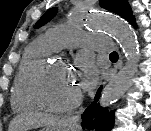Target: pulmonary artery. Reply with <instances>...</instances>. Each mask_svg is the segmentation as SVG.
Masks as SVG:
<instances>
[{
	"label": "pulmonary artery",
	"mask_w": 151,
	"mask_h": 131,
	"mask_svg": "<svg viewBox=\"0 0 151 131\" xmlns=\"http://www.w3.org/2000/svg\"><path fill=\"white\" fill-rule=\"evenodd\" d=\"M44 38L56 49L82 46L89 49L108 50L109 40L105 36L94 35L72 27L49 29Z\"/></svg>",
	"instance_id": "1"
}]
</instances>
